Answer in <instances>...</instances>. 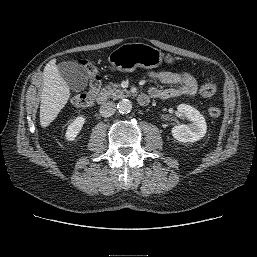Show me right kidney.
Segmentation results:
<instances>
[{"label":"right kidney","instance_id":"1","mask_svg":"<svg viewBox=\"0 0 257 257\" xmlns=\"http://www.w3.org/2000/svg\"><path fill=\"white\" fill-rule=\"evenodd\" d=\"M84 123L85 118L83 116H78L72 123H70L65 134L67 140L73 141L81 131Z\"/></svg>","mask_w":257,"mask_h":257}]
</instances>
